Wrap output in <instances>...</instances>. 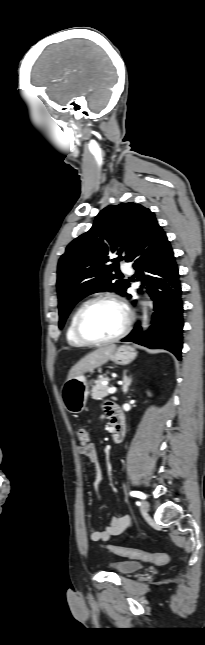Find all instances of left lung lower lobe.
<instances>
[{
	"label": "left lung lower lobe",
	"mask_w": 205,
	"mask_h": 645,
	"mask_svg": "<svg viewBox=\"0 0 205 645\" xmlns=\"http://www.w3.org/2000/svg\"><path fill=\"white\" fill-rule=\"evenodd\" d=\"M132 262L138 276L144 278L155 312L150 335L142 333L137 324L122 341L166 349L181 359L184 322L179 272L170 242L157 221L148 228Z\"/></svg>",
	"instance_id": "1"
}]
</instances>
